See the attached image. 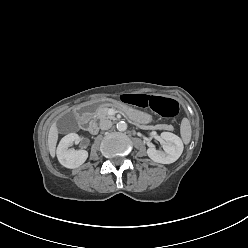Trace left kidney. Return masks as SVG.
<instances>
[{
	"label": "left kidney",
	"mask_w": 248,
	"mask_h": 248,
	"mask_svg": "<svg viewBox=\"0 0 248 248\" xmlns=\"http://www.w3.org/2000/svg\"><path fill=\"white\" fill-rule=\"evenodd\" d=\"M161 139L163 140V150H157L155 147L147 149V155L154 162L162 164H170L175 162L183 152V143L181 139L170 132H162Z\"/></svg>",
	"instance_id": "5707ae66"
}]
</instances>
